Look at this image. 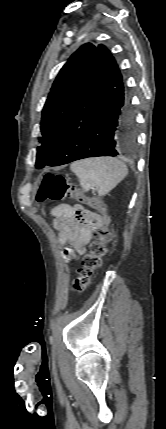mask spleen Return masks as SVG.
Returning a JSON list of instances; mask_svg holds the SVG:
<instances>
[{"label":"spleen","instance_id":"obj_1","mask_svg":"<svg viewBox=\"0 0 166 429\" xmlns=\"http://www.w3.org/2000/svg\"><path fill=\"white\" fill-rule=\"evenodd\" d=\"M70 169L85 191L96 188L100 197L109 193L128 174V168L122 161L110 157L79 160L73 162Z\"/></svg>","mask_w":166,"mask_h":429}]
</instances>
